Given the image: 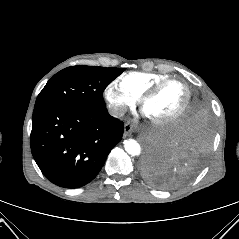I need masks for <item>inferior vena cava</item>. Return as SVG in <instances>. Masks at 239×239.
Listing matches in <instances>:
<instances>
[{"instance_id":"inferior-vena-cava-1","label":"inferior vena cava","mask_w":239,"mask_h":239,"mask_svg":"<svg viewBox=\"0 0 239 239\" xmlns=\"http://www.w3.org/2000/svg\"><path fill=\"white\" fill-rule=\"evenodd\" d=\"M125 112L126 108L124 106H111L109 108V114L116 118L122 117Z\"/></svg>"}]
</instances>
